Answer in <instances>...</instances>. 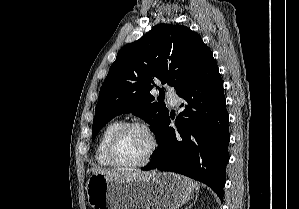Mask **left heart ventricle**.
I'll use <instances>...</instances> for the list:
<instances>
[{
    "label": "left heart ventricle",
    "mask_w": 299,
    "mask_h": 209,
    "mask_svg": "<svg viewBox=\"0 0 299 209\" xmlns=\"http://www.w3.org/2000/svg\"><path fill=\"white\" fill-rule=\"evenodd\" d=\"M149 148L147 136L140 130L129 129L117 140L115 159L122 164H131L144 158Z\"/></svg>",
    "instance_id": "b2bd125f"
}]
</instances>
